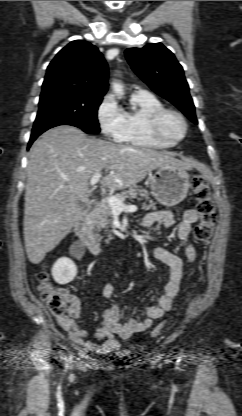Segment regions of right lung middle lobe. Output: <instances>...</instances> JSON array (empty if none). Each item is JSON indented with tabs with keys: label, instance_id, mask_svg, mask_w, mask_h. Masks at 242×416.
<instances>
[{
	"label": "right lung middle lobe",
	"instance_id": "obj_1",
	"mask_svg": "<svg viewBox=\"0 0 242 416\" xmlns=\"http://www.w3.org/2000/svg\"><path fill=\"white\" fill-rule=\"evenodd\" d=\"M101 101V96L72 93L41 96L32 133L65 124L79 127L86 133H99L97 110Z\"/></svg>",
	"mask_w": 242,
	"mask_h": 416
}]
</instances>
